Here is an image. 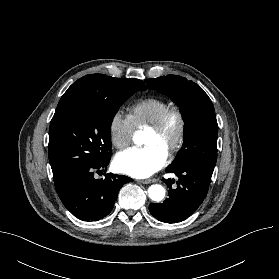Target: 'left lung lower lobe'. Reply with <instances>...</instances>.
Returning a JSON list of instances; mask_svg holds the SVG:
<instances>
[{
	"label": "left lung lower lobe",
	"instance_id": "1",
	"mask_svg": "<svg viewBox=\"0 0 279 279\" xmlns=\"http://www.w3.org/2000/svg\"><path fill=\"white\" fill-rule=\"evenodd\" d=\"M166 172H173L178 176L177 187H172L174 179H163L169 188V197L163 203H151L149 211L159 221L181 222L192 215L203 202L212 175L189 166L167 167Z\"/></svg>",
	"mask_w": 279,
	"mask_h": 279
}]
</instances>
